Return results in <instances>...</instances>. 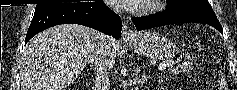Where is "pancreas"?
<instances>
[{"mask_svg":"<svg viewBox=\"0 0 237 90\" xmlns=\"http://www.w3.org/2000/svg\"><path fill=\"white\" fill-rule=\"evenodd\" d=\"M177 68V72H187V69H191V64H180Z\"/></svg>","mask_w":237,"mask_h":90,"instance_id":"cf45deb5","label":"pancreas"}]
</instances>
